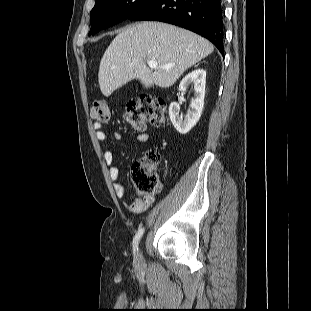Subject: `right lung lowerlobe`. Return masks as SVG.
Returning a JSON list of instances; mask_svg holds the SVG:
<instances>
[{"label": "right lung lower lobe", "instance_id": "right-lung-lower-lobe-1", "mask_svg": "<svg viewBox=\"0 0 311 311\" xmlns=\"http://www.w3.org/2000/svg\"><path fill=\"white\" fill-rule=\"evenodd\" d=\"M128 19L162 21L189 29L210 40L224 55L221 0H155Z\"/></svg>", "mask_w": 311, "mask_h": 311}]
</instances>
